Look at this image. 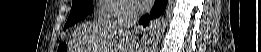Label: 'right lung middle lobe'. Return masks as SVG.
<instances>
[{
    "label": "right lung middle lobe",
    "mask_w": 261,
    "mask_h": 52,
    "mask_svg": "<svg viewBox=\"0 0 261 52\" xmlns=\"http://www.w3.org/2000/svg\"><path fill=\"white\" fill-rule=\"evenodd\" d=\"M93 10L92 0H73L70 16L65 24V28L74 25L85 18Z\"/></svg>",
    "instance_id": "obj_1"
}]
</instances>
